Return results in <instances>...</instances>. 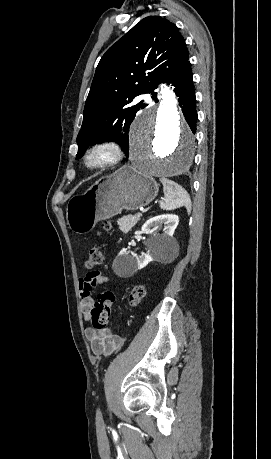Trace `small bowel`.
Masks as SVG:
<instances>
[{
  "label": "small bowel",
  "mask_w": 271,
  "mask_h": 459,
  "mask_svg": "<svg viewBox=\"0 0 271 459\" xmlns=\"http://www.w3.org/2000/svg\"><path fill=\"white\" fill-rule=\"evenodd\" d=\"M107 282V277L100 271L87 273L79 281V293L81 300V310L86 320H90L95 301L92 293L95 287ZM86 337L90 343L91 350L96 356H111L122 345L120 336L114 334L109 328L96 329L88 327Z\"/></svg>",
  "instance_id": "1"
}]
</instances>
